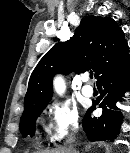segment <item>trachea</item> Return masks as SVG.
<instances>
[{"mask_svg": "<svg viewBox=\"0 0 130 153\" xmlns=\"http://www.w3.org/2000/svg\"><path fill=\"white\" fill-rule=\"evenodd\" d=\"M90 78H91V79L93 78V74H92V73L90 74Z\"/></svg>", "mask_w": 130, "mask_h": 153, "instance_id": "3493384b", "label": "trachea"}]
</instances>
